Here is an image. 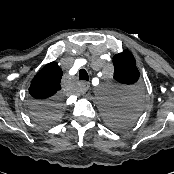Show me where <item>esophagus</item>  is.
<instances>
[{"instance_id":"obj_1","label":"esophagus","mask_w":174,"mask_h":174,"mask_svg":"<svg viewBox=\"0 0 174 174\" xmlns=\"http://www.w3.org/2000/svg\"><path fill=\"white\" fill-rule=\"evenodd\" d=\"M89 87H90V83L89 82H82L81 83V90L83 92H86L89 89Z\"/></svg>"}]
</instances>
